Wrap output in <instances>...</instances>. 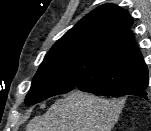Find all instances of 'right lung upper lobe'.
Here are the masks:
<instances>
[{"label": "right lung upper lobe", "mask_w": 151, "mask_h": 131, "mask_svg": "<svg viewBox=\"0 0 151 131\" xmlns=\"http://www.w3.org/2000/svg\"><path fill=\"white\" fill-rule=\"evenodd\" d=\"M132 25L127 11L105 4L83 17L56 44L68 43L92 56L107 89L125 94L148 84V70L134 43Z\"/></svg>", "instance_id": "right-lung-upper-lobe-1"}]
</instances>
